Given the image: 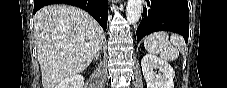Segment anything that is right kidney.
Returning a JSON list of instances; mask_svg holds the SVG:
<instances>
[{
  "mask_svg": "<svg viewBox=\"0 0 227 88\" xmlns=\"http://www.w3.org/2000/svg\"><path fill=\"white\" fill-rule=\"evenodd\" d=\"M84 78L82 75H74L62 80L55 88H83Z\"/></svg>",
  "mask_w": 227,
  "mask_h": 88,
  "instance_id": "obj_1",
  "label": "right kidney"
}]
</instances>
